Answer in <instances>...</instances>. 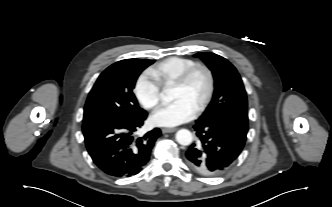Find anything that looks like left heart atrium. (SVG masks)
I'll return each mask as SVG.
<instances>
[{"instance_id": "39dd6f15", "label": "left heart atrium", "mask_w": 332, "mask_h": 207, "mask_svg": "<svg viewBox=\"0 0 332 207\" xmlns=\"http://www.w3.org/2000/svg\"><path fill=\"white\" fill-rule=\"evenodd\" d=\"M196 114V109L186 101L179 99L157 109L150 121L155 126L175 127L183 124Z\"/></svg>"}]
</instances>
